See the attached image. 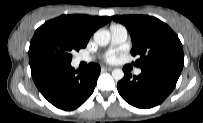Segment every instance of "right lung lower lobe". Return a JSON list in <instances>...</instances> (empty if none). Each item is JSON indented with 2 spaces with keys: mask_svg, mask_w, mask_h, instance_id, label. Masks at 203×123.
Masks as SVG:
<instances>
[{
  "mask_svg": "<svg viewBox=\"0 0 203 123\" xmlns=\"http://www.w3.org/2000/svg\"><path fill=\"white\" fill-rule=\"evenodd\" d=\"M30 67L40 93L63 110L81 106L93 93L100 74V66L94 63L82 71L75 70L70 63L58 61H36Z\"/></svg>",
  "mask_w": 203,
  "mask_h": 123,
  "instance_id": "1",
  "label": "right lung lower lobe"
}]
</instances>
